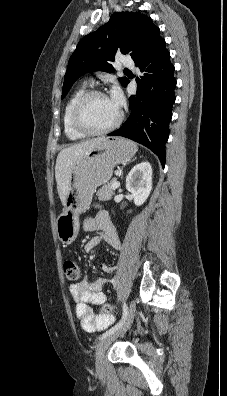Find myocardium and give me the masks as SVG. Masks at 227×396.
Instances as JSON below:
<instances>
[{
    "instance_id": "1",
    "label": "myocardium",
    "mask_w": 227,
    "mask_h": 396,
    "mask_svg": "<svg viewBox=\"0 0 227 396\" xmlns=\"http://www.w3.org/2000/svg\"><path fill=\"white\" fill-rule=\"evenodd\" d=\"M95 96H106V94L98 89L87 90L78 98L73 108V113H72L73 124L77 130H79L80 132L86 135H101V134L109 133L115 130L122 123L124 118L123 111L119 109L118 117L109 126L96 129L88 125V123L84 118V111L88 101Z\"/></svg>"
}]
</instances>
